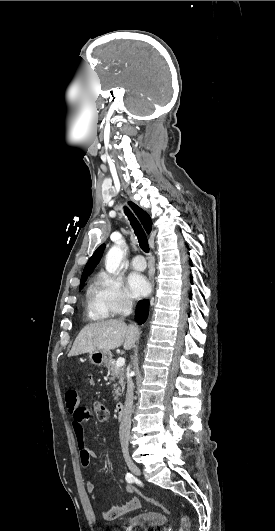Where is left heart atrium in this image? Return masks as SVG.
<instances>
[{"mask_svg":"<svg viewBox=\"0 0 275 531\" xmlns=\"http://www.w3.org/2000/svg\"><path fill=\"white\" fill-rule=\"evenodd\" d=\"M127 290L133 297H141L148 290V281L141 273L132 272L127 278Z\"/></svg>","mask_w":275,"mask_h":531,"instance_id":"obj_1","label":"left heart atrium"}]
</instances>
